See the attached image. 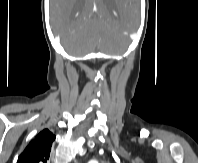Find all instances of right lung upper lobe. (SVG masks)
Listing matches in <instances>:
<instances>
[{
    "mask_svg": "<svg viewBox=\"0 0 198 163\" xmlns=\"http://www.w3.org/2000/svg\"><path fill=\"white\" fill-rule=\"evenodd\" d=\"M54 140L55 135L52 132L42 130L20 154L17 163H46Z\"/></svg>",
    "mask_w": 198,
    "mask_h": 163,
    "instance_id": "obj_1",
    "label": "right lung upper lobe"
}]
</instances>
